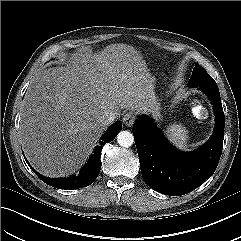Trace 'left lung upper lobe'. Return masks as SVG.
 Masks as SVG:
<instances>
[{
    "label": "left lung upper lobe",
    "instance_id": "5c2ea615",
    "mask_svg": "<svg viewBox=\"0 0 241 241\" xmlns=\"http://www.w3.org/2000/svg\"><path fill=\"white\" fill-rule=\"evenodd\" d=\"M188 85L190 87L218 88L215 80L199 64L195 65Z\"/></svg>",
    "mask_w": 241,
    "mask_h": 241
}]
</instances>
